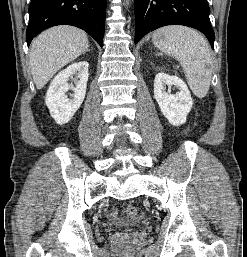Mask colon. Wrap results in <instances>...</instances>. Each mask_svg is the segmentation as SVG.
<instances>
[{"mask_svg": "<svg viewBox=\"0 0 247 257\" xmlns=\"http://www.w3.org/2000/svg\"><path fill=\"white\" fill-rule=\"evenodd\" d=\"M125 214L128 218L134 219L137 216V208L134 205H129L125 209ZM111 217L114 220L119 219L118 214L115 211L111 212Z\"/></svg>", "mask_w": 247, "mask_h": 257, "instance_id": "colon-1", "label": "colon"}]
</instances>
